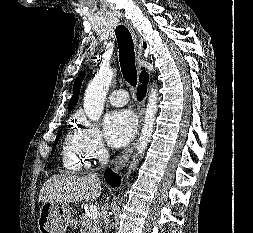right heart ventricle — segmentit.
Listing matches in <instances>:
<instances>
[{
	"label": "right heart ventricle",
	"mask_w": 253,
	"mask_h": 233,
	"mask_svg": "<svg viewBox=\"0 0 253 233\" xmlns=\"http://www.w3.org/2000/svg\"><path fill=\"white\" fill-rule=\"evenodd\" d=\"M61 159L63 167L79 172L90 165L91 156L79 131L69 132L63 142Z\"/></svg>",
	"instance_id": "obj_1"
}]
</instances>
